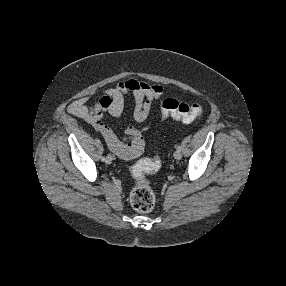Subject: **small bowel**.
<instances>
[{"mask_svg": "<svg viewBox=\"0 0 286 286\" xmlns=\"http://www.w3.org/2000/svg\"><path fill=\"white\" fill-rule=\"evenodd\" d=\"M160 84L129 78L119 81L113 88L100 95L93 104H88L87 97L74 100L68 107L73 115L90 123L105 139L109 149L118 157L128 160L139 156L144 148V132L146 127L129 126L121 139L104 120V113L114 118L122 115L126 95H132L134 119L137 123H144L151 110L152 102L159 99L164 93Z\"/></svg>", "mask_w": 286, "mask_h": 286, "instance_id": "small-bowel-1", "label": "small bowel"}]
</instances>
